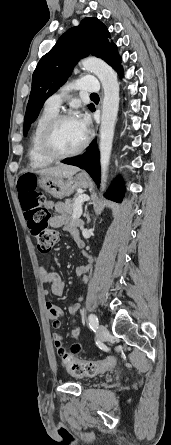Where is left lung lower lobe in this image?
Returning a JSON list of instances; mask_svg holds the SVG:
<instances>
[{"mask_svg": "<svg viewBox=\"0 0 171 445\" xmlns=\"http://www.w3.org/2000/svg\"><path fill=\"white\" fill-rule=\"evenodd\" d=\"M119 75H122V67H119L116 70ZM95 108L93 107L91 111H94ZM65 164L75 165L82 169H85L92 179L96 182V184H99L100 182V164H99V151L97 149V142L96 140L90 144V146L87 148V151L77 157L68 158L62 161ZM124 194V186L120 179H117L112 187L109 189V191L105 194V197L111 200H114L116 202H121L122 197Z\"/></svg>", "mask_w": 171, "mask_h": 445, "instance_id": "1", "label": "left lung lower lobe"}]
</instances>
